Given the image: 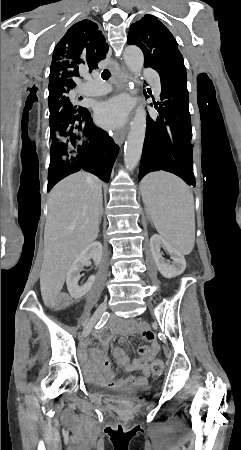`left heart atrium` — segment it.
Returning a JSON list of instances; mask_svg holds the SVG:
<instances>
[{"label":"left heart atrium","mask_w":241,"mask_h":450,"mask_svg":"<svg viewBox=\"0 0 241 450\" xmlns=\"http://www.w3.org/2000/svg\"><path fill=\"white\" fill-rule=\"evenodd\" d=\"M131 109L125 97H116L99 105L96 112L97 123L104 128H115L124 124Z\"/></svg>","instance_id":"obj_1"}]
</instances>
